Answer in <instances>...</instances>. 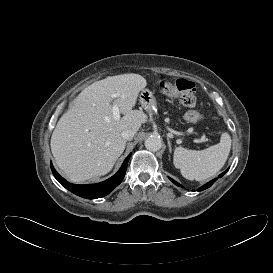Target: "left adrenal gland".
Returning <instances> with one entry per match:
<instances>
[{
  "instance_id": "obj_1",
  "label": "left adrenal gland",
  "mask_w": 273,
  "mask_h": 273,
  "mask_svg": "<svg viewBox=\"0 0 273 273\" xmlns=\"http://www.w3.org/2000/svg\"><path fill=\"white\" fill-rule=\"evenodd\" d=\"M168 147H169V152L171 153L172 152V148H171V143H170L169 139H168Z\"/></svg>"
}]
</instances>
